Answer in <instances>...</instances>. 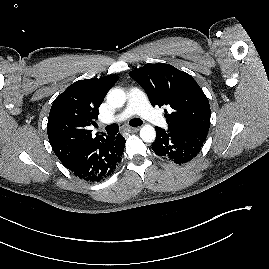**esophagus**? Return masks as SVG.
I'll return each mask as SVG.
<instances>
[{
    "instance_id": "1",
    "label": "esophagus",
    "mask_w": 269,
    "mask_h": 269,
    "mask_svg": "<svg viewBox=\"0 0 269 269\" xmlns=\"http://www.w3.org/2000/svg\"><path fill=\"white\" fill-rule=\"evenodd\" d=\"M138 130H139L138 127H130L126 129V131L129 133H134V132H137Z\"/></svg>"
}]
</instances>
